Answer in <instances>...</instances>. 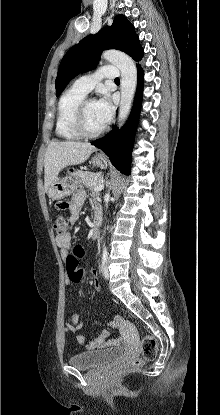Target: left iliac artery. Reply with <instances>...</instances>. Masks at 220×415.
Wrapping results in <instances>:
<instances>
[{"label":"left iliac artery","mask_w":220,"mask_h":415,"mask_svg":"<svg viewBox=\"0 0 220 415\" xmlns=\"http://www.w3.org/2000/svg\"><path fill=\"white\" fill-rule=\"evenodd\" d=\"M108 258V252L105 246H103V253H102V265L105 264L106 260Z\"/></svg>","instance_id":"1"}]
</instances>
